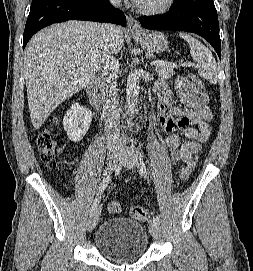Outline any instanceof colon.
Listing matches in <instances>:
<instances>
[{
  "instance_id": "1",
  "label": "colon",
  "mask_w": 253,
  "mask_h": 271,
  "mask_svg": "<svg viewBox=\"0 0 253 271\" xmlns=\"http://www.w3.org/2000/svg\"><path fill=\"white\" fill-rule=\"evenodd\" d=\"M191 78L202 90L203 83L195 76H191ZM37 147L40 153V157L46 163L47 167L51 170L55 169L57 167L56 159L59 155L60 148L54 135L48 130L41 132L37 137ZM195 164V158H192L186 163L181 172L182 180L189 179ZM107 210L110 214H118L121 211V205L117 201H112L108 203ZM129 213L133 219L138 221H147L149 219V212L147 209L141 206H131Z\"/></svg>"
}]
</instances>
